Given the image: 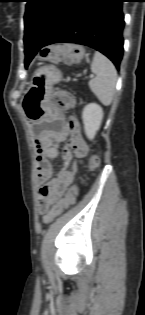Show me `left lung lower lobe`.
Returning <instances> with one entry per match:
<instances>
[{
    "label": "left lung lower lobe",
    "instance_id": "0a47b994",
    "mask_svg": "<svg viewBox=\"0 0 145 315\" xmlns=\"http://www.w3.org/2000/svg\"><path fill=\"white\" fill-rule=\"evenodd\" d=\"M125 0H73L49 37L41 41L25 34V66L45 46L77 43L96 49L120 67L123 57L122 2Z\"/></svg>",
    "mask_w": 145,
    "mask_h": 315
}]
</instances>
